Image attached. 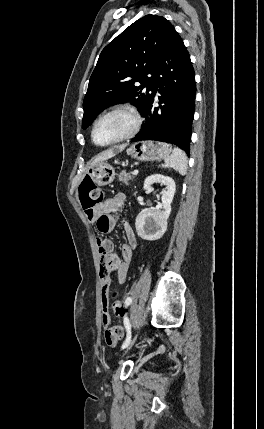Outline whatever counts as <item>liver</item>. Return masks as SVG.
I'll return each mask as SVG.
<instances>
[{
	"label": "liver",
	"instance_id": "6515ba94",
	"mask_svg": "<svg viewBox=\"0 0 264 429\" xmlns=\"http://www.w3.org/2000/svg\"><path fill=\"white\" fill-rule=\"evenodd\" d=\"M126 146H127L126 144H122V145L116 146L114 148H111V149H108V150L102 152L101 154H99L98 156H96L92 160L91 166L94 165V164H96V163H98V162H102V161H105V160H107L109 158L114 157L115 154H116V151L121 152V151H123L125 149Z\"/></svg>",
	"mask_w": 264,
	"mask_h": 429
}]
</instances>
